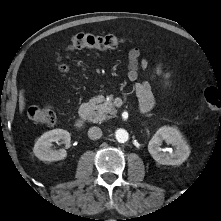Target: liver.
<instances>
[{"mask_svg": "<svg viewBox=\"0 0 221 221\" xmlns=\"http://www.w3.org/2000/svg\"><path fill=\"white\" fill-rule=\"evenodd\" d=\"M23 93H24V91L22 90L19 95V111H20V113H22L25 108V101H24V94Z\"/></svg>", "mask_w": 221, "mask_h": 221, "instance_id": "1", "label": "liver"}]
</instances>
